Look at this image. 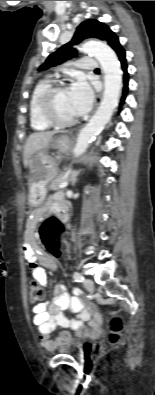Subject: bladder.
Listing matches in <instances>:
<instances>
[{"label": "bladder", "mask_w": 155, "mask_h": 395, "mask_svg": "<svg viewBox=\"0 0 155 395\" xmlns=\"http://www.w3.org/2000/svg\"><path fill=\"white\" fill-rule=\"evenodd\" d=\"M94 349V343L89 340L70 339L62 342L56 348L61 354L74 356H84L91 353Z\"/></svg>", "instance_id": "bladder-1"}]
</instances>
